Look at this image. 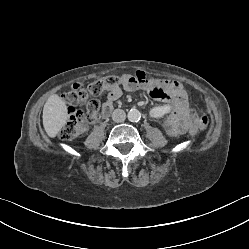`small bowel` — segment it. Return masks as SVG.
Here are the masks:
<instances>
[{"instance_id":"obj_1","label":"small bowel","mask_w":249,"mask_h":249,"mask_svg":"<svg viewBox=\"0 0 249 249\" xmlns=\"http://www.w3.org/2000/svg\"><path fill=\"white\" fill-rule=\"evenodd\" d=\"M140 76L143 77L140 83L125 82L107 90L103 103L102 116L107 117L110 114L114 102L122 96L123 90L133 92L144 89L149 92L154 100L164 99L174 103L176 109L171 113V119L167 125L170 135L179 136L185 133L194 135L196 133V113L188 102L182 84L172 79L150 78L141 71L136 72L135 75H123L122 78L136 79Z\"/></svg>"}]
</instances>
